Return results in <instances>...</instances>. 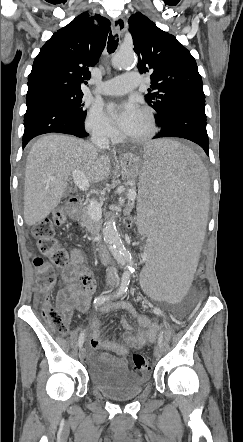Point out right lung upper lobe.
Instances as JSON below:
<instances>
[{"label": "right lung upper lobe", "mask_w": 243, "mask_h": 442, "mask_svg": "<svg viewBox=\"0 0 243 442\" xmlns=\"http://www.w3.org/2000/svg\"><path fill=\"white\" fill-rule=\"evenodd\" d=\"M96 19L99 26L93 24ZM110 21L88 12L77 16L43 45L28 77L27 97L53 89L82 92L105 47Z\"/></svg>", "instance_id": "1"}]
</instances>
